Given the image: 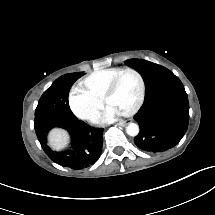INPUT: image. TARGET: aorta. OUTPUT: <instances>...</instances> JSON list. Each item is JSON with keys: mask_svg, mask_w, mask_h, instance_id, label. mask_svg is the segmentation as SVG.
<instances>
[{"mask_svg": "<svg viewBox=\"0 0 215 215\" xmlns=\"http://www.w3.org/2000/svg\"><path fill=\"white\" fill-rule=\"evenodd\" d=\"M126 132L128 135L130 136H135L138 134L139 132V127L136 123H129L127 126H126Z\"/></svg>", "mask_w": 215, "mask_h": 215, "instance_id": "762f6f07", "label": "aorta"}]
</instances>
